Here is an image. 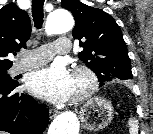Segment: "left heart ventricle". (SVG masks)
<instances>
[{
    "label": "left heart ventricle",
    "instance_id": "1",
    "mask_svg": "<svg viewBox=\"0 0 153 134\" xmlns=\"http://www.w3.org/2000/svg\"><path fill=\"white\" fill-rule=\"evenodd\" d=\"M85 85L86 82L83 77L73 76V96L80 93L84 89Z\"/></svg>",
    "mask_w": 153,
    "mask_h": 134
}]
</instances>
